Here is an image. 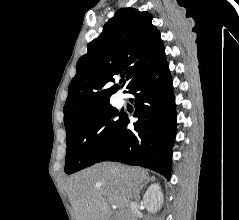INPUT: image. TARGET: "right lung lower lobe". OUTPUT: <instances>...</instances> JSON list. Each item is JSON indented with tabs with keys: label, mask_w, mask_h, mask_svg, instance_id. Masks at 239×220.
Returning <instances> with one entry per match:
<instances>
[{
	"label": "right lung lower lobe",
	"mask_w": 239,
	"mask_h": 220,
	"mask_svg": "<svg viewBox=\"0 0 239 220\" xmlns=\"http://www.w3.org/2000/svg\"><path fill=\"white\" fill-rule=\"evenodd\" d=\"M133 94L138 121L128 130L129 118L122 122L96 163L119 161L152 169L170 178L171 157L176 136L173 83L167 60L139 78L127 91Z\"/></svg>",
	"instance_id": "98d812e1"
}]
</instances>
